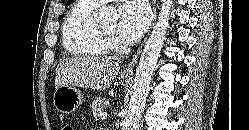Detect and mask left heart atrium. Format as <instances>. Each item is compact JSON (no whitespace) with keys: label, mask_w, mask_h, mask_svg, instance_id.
<instances>
[{"label":"left heart atrium","mask_w":249,"mask_h":130,"mask_svg":"<svg viewBox=\"0 0 249 130\" xmlns=\"http://www.w3.org/2000/svg\"><path fill=\"white\" fill-rule=\"evenodd\" d=\"M150 23V11L142 0L124 2L119 8L118 34L126 42L138 40Z\"/></svg>","instance_id":"39dd6f15"}]
</instances>
